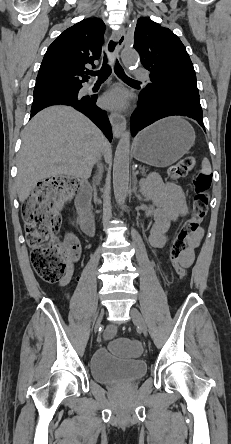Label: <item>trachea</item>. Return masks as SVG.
<instances>
[{"label":"trachea","mask_w":231,"mask_h":444,"mask_svg":"<svg viewBox=\"0 0 231 444\" xmlns=\"http://www.w3.org/2000/svg\"><path fill=\"white\" fill-rule=\"evenodd\" d=\"M108 62H109V59H108L107 55L104 54V60H103V65H102L101 69L98 71H88V74L92 75V76H97L98 80H106L108 78V76L111 74V67L108 64ZM114 69H115L116 74L118 76L122 77L124 80L136 81V80L130 79L126 76L124 70L122 69V67L120 66V64L118 63L117 60L115 62Z\"/></svg>","instance_id":"trachea-1"}]
</instances>
